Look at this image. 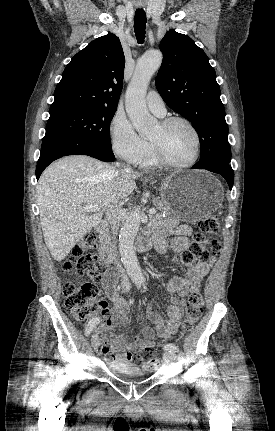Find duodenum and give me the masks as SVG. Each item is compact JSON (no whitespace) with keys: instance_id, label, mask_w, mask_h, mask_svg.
I'll use <instances>...</instances> for the list:
<instances>
[{"instance_id":"duodenum-1","label":"duodenum","mask_w":275,"mask_h":431,"mask_svg":"<svg viewBox=\"0 0 275 431\" xmlns=\"http://www.w3.org/2000/svg\"><path fill=\"white\" fill-rule=\"evenodd\" d=\"M107 222L102 221L98 225V231L102 238L101 247H100V256L105 263H114L116 261V251L113 245L105 238V234L107 231ZM153 243V239L149 236V234H145L138 243V250L140 252L148 251Z\"/></svg>"}]
</instances>
